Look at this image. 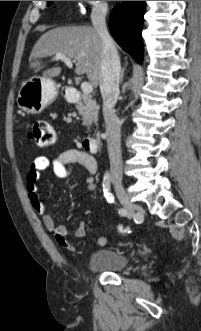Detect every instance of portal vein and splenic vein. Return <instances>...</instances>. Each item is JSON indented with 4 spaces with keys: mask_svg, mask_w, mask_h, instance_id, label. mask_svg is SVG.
Returning a JSON list of instances; mask_svg holds the SVG:
<instances>
[{
    "mask_svg": "<svg viewBox=\"0 0 201 331\" xmlns=\"http://www.w3.org/2000/svg\"><path fill=\"white\" fill-rule=\"evenodd\" d=\"M55 58L57 60H62L69 68H72L73 61L70 58L66 57L65 55L61 53H57ZM81 89L85 94H90L93 91V87L89 82H83L81 84Z\"/></svg>",
    "mask_w": 201,
    "mask_h": 331,
    "instance_id": "1",
    "label": "portal vein and splenic vein"
}]
</instances>
